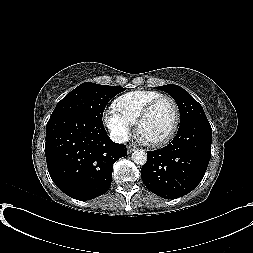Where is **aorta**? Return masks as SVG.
<instances>
[{
    "mask_svg": "<svg viewBox=\"0 0 253 253\" xmlns=\"http://www.w3.org/2000/svg\"><path fill=\"white\" fill-rule=\"evenodd\" d=\"M132 161L137 165H144L147 161V154L144 150H135L132 153Z\"/></svg>",
    "mask_w": 253,
    "mask_h": 253,
    "instance_id": "762f6f07",
    "label": "aorta"
}]
</instances>
